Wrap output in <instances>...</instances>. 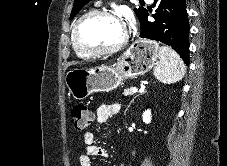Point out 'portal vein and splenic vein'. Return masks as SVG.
Returning <instances> with one entry per match:
<instances>
[{
	"instance_id": "portal-vein-and-splenic-vein-1",
	"label": "portal vein and splenic vein",
	"mask_w": 227,
	"mask_h": 166,
	"mask_svg": "<svg viewBox=\"0 0 227 166\" xmlns=\"http://www.w3.org/2000/svg\"><path fill=\"white\" fill-rule=\"evenodd\" d=\"M137 91H138V90H137V88H135V87L131 89V93H132V94L137 93Z\"/></svg>"
}]
</instances>
